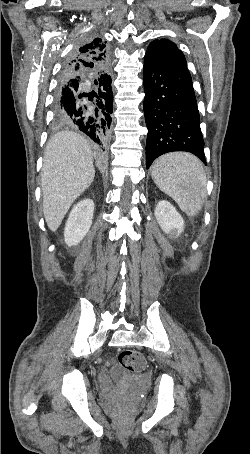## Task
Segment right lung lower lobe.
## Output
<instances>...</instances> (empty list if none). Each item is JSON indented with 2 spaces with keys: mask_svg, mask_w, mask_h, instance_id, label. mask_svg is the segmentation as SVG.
Listing matches in <instances>:
<instances>
[{
  "mask_svg": "<svg viewBox=\"0 0 250 454\" xmlns=\"http://www.w3.org/2000/svg\"><path fill=\"white\" fill-rule=\"evenodd\" d=\"M78 50L79 48L73 51L70 59L78 54ZM93 78H96L94 83L98 85V91L93 95L83 92L85 82ZM111 82L107 72L84 75L79 79L60 83L55 96L54 114L59 125L81 130L102 149L107 145L110 136L113 111Z\"/></svg>",
  "mask_w": 250,
  "mask_h": 454,
  "instance_id": "98d812e1",
  "label": "right lung lower lobe"
}]
</instances>
